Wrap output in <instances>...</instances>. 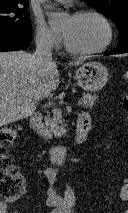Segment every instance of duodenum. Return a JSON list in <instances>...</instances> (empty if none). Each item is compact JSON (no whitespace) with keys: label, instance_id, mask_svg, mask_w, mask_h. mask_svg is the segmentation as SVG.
Wrapping results in <instances>:
<instances>
[{"label":"duodenum","instance_id":"410a0bca","mask_svg":"<svg viewBox=\"0 0 128 213\" xmlns=\"http://www.w3.org/2000/svg\"><path fill=\"white\" fill-rule=\"evenodd\" d=\"M30 127L38 136L45 140L48 139L43 127L42 115L40 113H34L30 117ZM90 127V116L86 113H81L78 117L76 135L73 142L75 146L82 145L86 142ZM67 152L68 147L66 146H52L49 148L50 159L55 164H62L67 157Z\"/></svg>","mask_w":128,"mask_h":213}]
</instances>
